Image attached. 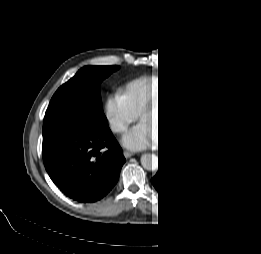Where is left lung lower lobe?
I'll list each match as a JSON object with an SVG mask.
<instances>
[{
    "label": "left lung lower lobe",
    "mask_w": 261,
    "mask_h": 254,
    "mask_svg": "<svg viewBox=\"0 0 261 254\" xmlns=\"http://www.w3.org/2000/svg\"><path fill=\"white\" fill-rule=\"evenodd\" d=\"M169 154L161 156L160 166L158 168V172L155 177L152 178L151 182L154 187L157 189L158 193L162 194L165 197H172V190L167 186V182H165V176L167 173L168 163H166V159L169 164H174L177 166L176 161V151L175 144L171 145L168 149ZM170 166V165H169Z\"/></svg>",
    "instance_id": "1"
}]
</instances>
